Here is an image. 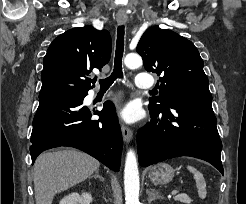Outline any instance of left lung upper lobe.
<instances>
[{"label":"left lung upper lobe","instance_id":"obj_1","mask_svg":"<svg viewBox=\"0 0 246 204\" xmlns=\"http://www.w3.org/2000/svg\"><path fill=\"white\" fill-rule=\"evenodd\" d=\"M137 52L145 69L161 76L159 96L150 98L149 109L159 111L171 100H212L203 60L188 39L151 27L141 37Z\"/></svg>","mask_w":246,"mask_h":204}]
</instances>
